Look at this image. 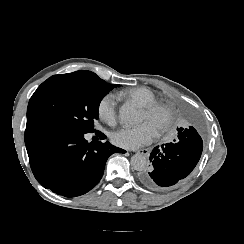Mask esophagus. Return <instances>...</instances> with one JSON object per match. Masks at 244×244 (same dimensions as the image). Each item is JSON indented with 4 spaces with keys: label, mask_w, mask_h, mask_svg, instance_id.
<instances>
[{
    "label": "esophagus",
    "mask_w": 244,
    "mask_h": 244,
    "mask_svg": "<svg viewBox=\"0 0 244 244\" xmlns=\"http://www.w3.org/2000/svg\"><path fill=\"white\" fill-rule=\"evenodd\" d=\"M135 153L142 154L144 156H148L150 154V149L144 148V149L135 150Z\"/></svg>",
    "instance_id": "esophagus-1"
}]
</instances>
